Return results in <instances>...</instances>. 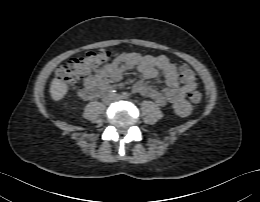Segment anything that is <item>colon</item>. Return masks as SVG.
I'll use <instances>...</instances> for the list:
<instances>
[{
  "instance_id": "colon-1",
  "label": "colon",
  "mask_w": 260,
  "mask_h": 202,
  "mask_svg": "<svg viewBox=\"0 0 260 202\" xmlns=\"http://www.w3.org/2000/svg\"><path fill=\"white\" fill-rule=\"evenodd\" d=\"M111 54L108 50H100L86 57L77 59L68 65L59 69L57 78L70 84H76L88 78L97 68L103 65ZM180 78L183 82L188 83L195 80V72L188 65H181ZM202 95L199 91H192L189 99L192 103L198 104Z\"/></svg>"
}]
</instances>
